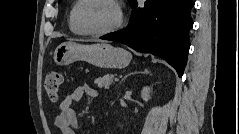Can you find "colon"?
Here are the masks:
<instances>
[{
	"label": "colon",
	"mask_w": 239,
	"mask_h": 134,
	"mask_svg": "<svg viewBox=\"0 0 239 134\" xmlns=\"http://www.w3.org/2000/svg\"><path fill=\"white\" fill-rule=\"evenodd\" d=\"M63 78L59 72L48 73L45 79L44 88L52 101H57L62 89Z\"/></svg>",
	"instance_id": "obj_1"
}]
</instances>
